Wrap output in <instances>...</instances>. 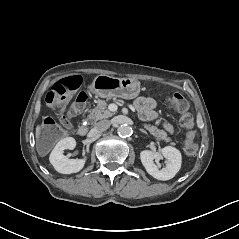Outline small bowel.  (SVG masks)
Masks as SVG:
<instances>
[{"mask_svg":"<svg viewBox=\"0 0 239 239\" xmlns=\"http://www.w3.org/2000/svg\"><path fill=\"white\" fill-rule=\"evenodd\" d=\"M134 106L144 119L152 120L156 118V102L152 98L139 97L135 100ZM166 129L168 131L172 130L169 125H166Z\"/></svg>","mask_w":239,"mask_h":239,"instance_id":"c3829d8e","label":"small bowel"}]
</instances>
